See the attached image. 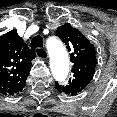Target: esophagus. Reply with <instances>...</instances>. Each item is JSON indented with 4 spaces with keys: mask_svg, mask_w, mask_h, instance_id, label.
Returning <instances> with one entry per match:
<instances>
[{
    "mask_svg": "<svg viewBox=\"0 0 117 117\" xmlns=\"http://www.w3.org/2000/svg\"><path fill=\"white\" fill-rule=\"evenodd\" d=\"M38 50H40V51H38ZM36 55L38 58H40L42 60L48 59V53H47V50L45 48H38L36 50Z\"/></svg>",
    "mask_w": 117,
    "mask_h": 117,
    "instance_id": "34e87169",
    "label": "esophagus"
}]
</instances>
